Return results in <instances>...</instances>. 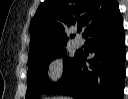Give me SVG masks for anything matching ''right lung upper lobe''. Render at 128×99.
Here are the masks:
<instances>
[{"label":"right lung upper lobe","mask_w":128,"mask_h":99,"mask_svg":"<svg viewBox=\"0 0 128 99\" xmlns=\"http://www.w3.org/2000/svg\"><path fill=\"white\" fill-rule=\"evenodd\" d=\"M117 5L116 0L44 1L30 23L29 58L64 47L68 41L65 27L73 26L76 21L85 27V36L95 23Z\"/></svg>","instance_id":"right-lung-upper-lobe-1"}]
</instances>
